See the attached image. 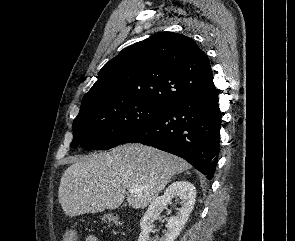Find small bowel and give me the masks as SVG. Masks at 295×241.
Returning <instances> with one entry per match:
<instances>
[{
    "mask_svg": "<svg viewBox=\"0 0 295 241\" xmlns=\"http://www.w3.org/2000/svg\"><path fill=\"white\" fill-rule=\"evenodd\" d=\"M88 241H92V239H91V238H89V239H88Z\"/></svg>",
    "mask_w": 295,
    "mask_h": 241,
    "instance_id": "1",
    "label": "small bowel"
}]
</instances>
